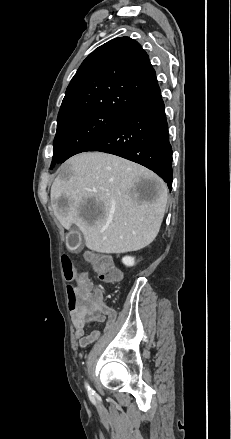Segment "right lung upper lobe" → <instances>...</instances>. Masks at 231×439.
Here are the masks:
<instances>
[{"mask_svg": "<svg viewBox=\"0 0 231 439\" xmlns=\"http://www.w3.org/2000/svg\"><path fill=\"white\" fill-rule=\"evenodd\" d=\"M147 53L129 37L115 38L95 49L67 87L58 118L89 110L126 114L160 94Z\"/></svg>", "mask_w": 231, "mask_h": 439, "instance_id": "cb5924a9", "label": "right lung upper lobe"}]
</instances>
